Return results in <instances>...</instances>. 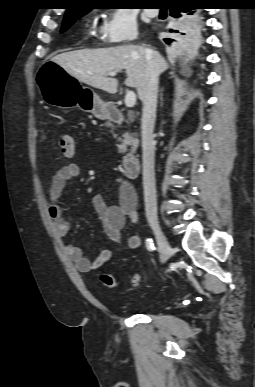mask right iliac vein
<instances>
[{"label":"right iliac vein","instance_id":"right-iliac-vein-1","mask_svg":"<svg viewBox=\"0 0 255 387\" xmlns=\"http://www.w3.org/2000/svg\"><path fill=\"white\" fill-rule=\"evenodd\" d=\"M151 228L157 239L160 252V262L165 263L172 253V248L158 223H152Z\"/></svg>","mask_w":255,"mask_h":387}]
</instances>
